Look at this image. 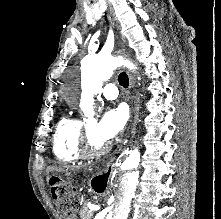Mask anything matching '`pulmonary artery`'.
Here are the masks:
<instances>
[{
  "label": "pulmonary artery",
  "mask_w": 221,
  "mask_h": 219,
  "mask_svg": "<svg viewBox=\"0 0 221 219\" xmlns=\"http://www.w3.org/2000/svg\"><path fill=\"white\" fill-rule=\"evenodd\" d=\"M102 95L108 100H114L118 97V89L114 84H106L102 90Z\"/></svg>",
  "instance_id": "pulmonary-artery-1"
}]
</instances>
